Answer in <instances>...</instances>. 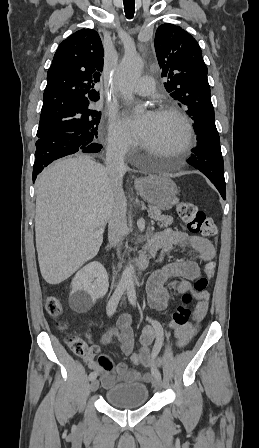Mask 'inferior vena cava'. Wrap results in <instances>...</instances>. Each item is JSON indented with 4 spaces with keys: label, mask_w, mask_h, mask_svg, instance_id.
<instances>
[{
    "label": "inferior vena cava",
    "mask_w": 259,
    "mask_h": 448,
    "mask_svg": "<svg viewBox=\"0 0 259 448\" xmlns=\"http://www.w3.org/2000/svg\"><path fill=\"white\" fill-rule=\"evenodd\" d=\"M127 150V142L122 138H113L111 140L106 154V168L111 176L117 182H120L121 174L126 172V166L124 164V156ZM119 188L115 196L114 210L110 216L108 226V240L112 246H116L123 236H125L127 228V200L124 196L121 184H118Z\"/></svg>",
    "instance_id": "obj_1"
}]
</instances>
